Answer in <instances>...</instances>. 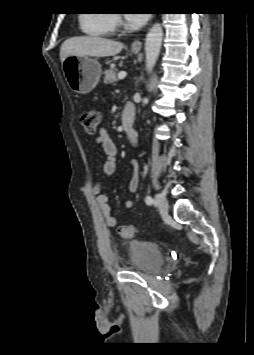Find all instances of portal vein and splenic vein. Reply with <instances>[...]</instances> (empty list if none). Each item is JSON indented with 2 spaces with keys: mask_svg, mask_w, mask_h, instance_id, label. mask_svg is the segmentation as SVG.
I'll return each mask as SVG.
<instances>
[{
  "mask_svg": "<svg viewBox=\"0 0 254 355\" xmlns=\"http://www.w3.org/2000/svg\"><path fill=\"white\" fill-rule=\"evenodd\" d=\"M126 76H127V73L124 72V71H122V72H120V73L118 74V78H119L120 80L124 79Z\"/></svg>",
  "mask_w": 254,
  "mask_h": 355,
  "instance_id": "obj_1",
  "label": "portal vein and splenic vein"
}]
</instances>
